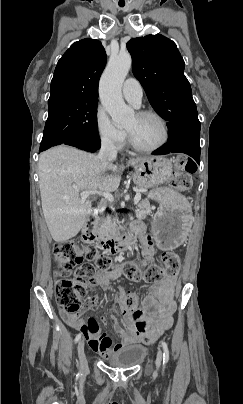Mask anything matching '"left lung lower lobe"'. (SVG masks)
I'll return each instance as SVG.
<instances>
[{"instance_id": "left-lung-lower-lobe-1", "label": "left lung lower lobe", "mask_w": 243, "mask_h": 404, "mask_svg": "<svg viewBox=\"0 0 243 404\" xmlns=\"http://www.w3.org/2000/svg\"><path fill=\"white\" fill-rule=\"evenodd\" d=\"M200 129L183 128L173 132L166 144L153 152L163 155L171 152L185 153L200 164Z\"/></svg>"}]
</instances>
